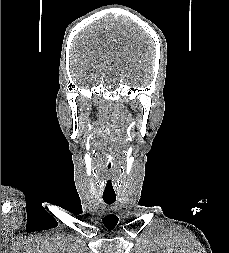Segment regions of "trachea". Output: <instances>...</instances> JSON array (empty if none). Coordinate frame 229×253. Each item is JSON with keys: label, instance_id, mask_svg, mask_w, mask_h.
Masks as SVG:
<instances>
[{"label": "trachea", "instance_id": "1", "mask_svg": "<svg viewBox=\"0 0 229 253\" xmlns=\"http://www.w3.org/2000/svg\"><path fill=\"white\" fill-rule=\"evenodd\" d=\"M103 200L106 204L111 205L115 202L116 197H103Z\"/></svg>", "mask_w": 229, "mask_h": 253}]
</instances>
